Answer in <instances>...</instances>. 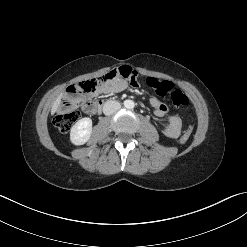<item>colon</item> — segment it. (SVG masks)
Listing matches in <instances>:
<instances>
[{
    "label": "colon",
    "instance_id": "5ec220e1",
    "mask_svg": "<svg viewBox=\"0 0 247 247\" xmlns=\"http://www.w3.org/2000/svg\"><path fill=\"white\" fill-rule=\"evenodd\" d=\"M118 76L129 78L133 84H137L136 74L124 67L110 71L101 77L98 82H108ZM147 84L160 96L170 95L173 104L177 107H184L188 104L187 96L180 89L175 88L170 82L148 78ZM95 86V81H87L70 87L69 95L62 99L60 109L53 118V123L60 132H68L79 119L80 114L76 109V97L93 92ZM188 115L191 117L190 111H188ZM192 131L193 125L190 124L181 136V142H186L190 138Z\"/></svg>",
    "mask_w": 247,
    "mask_h": 247
}]
</instances>
